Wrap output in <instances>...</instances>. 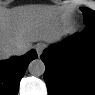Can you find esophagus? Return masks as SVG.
<instances>
[{
    "mask_svg": "<svg viewBox=\"0 0 95 95\" xmlns=\"http://www.w3.org/2000/svg\"><path fill=\"white\" fill-rule=\"evenodd\" d=\"M35 49L37 51L38 56H40L45 49V44L39 43L35 46Z\"/></svg>",
    "mask_w": 95,
    "mask_h": 95,
    "instance_id": "obj_1",
    "label": "esophagus"
}]
</instances>
